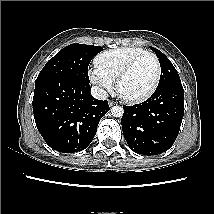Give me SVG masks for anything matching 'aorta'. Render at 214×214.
Here are the masks:
<instances>
[{
	"label": "aorta",
	"mask_w": 214,
	"mask_h": 214,
	"mask_svg": "<svg viewBox=\"0 0 214 214\" xmlns=\"http://www.w3.org/2000/svg\"><path fill=\"white\" fill-rule=\"evenodd\" d=\"M111 113L114 117H122L124 110L121 106H113L111 108Z\"/></svg>",
	"instance_id": "762f6f07"
}]
</instances>
